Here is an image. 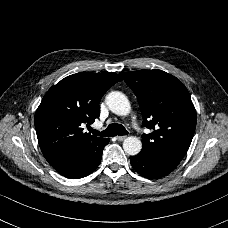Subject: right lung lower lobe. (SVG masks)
I'll return each mask as SVG.
<instances>
[{
	"label": "right lung lower lobe",
	"mask_w": 228,
	"mask_h": 228,
	"mask_svg": "<svg viewBox=\"0 0 228 228\" xmlns=\"http://www.w3.org/2000/svg\"><path fill=\"white\" fill-rule=\"evenodd\" d=\"M108 143V138H97L71 155L51 159L48 162L65 177L82 178L98 167L103 148Z\"/></svg>",
	"instance_id": "obj_1"
}]
</instances>
